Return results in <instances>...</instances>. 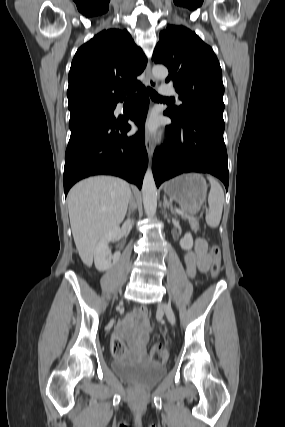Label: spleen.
Listing matches in <instances>:
<instances>
[{"instance_id":"obj_1","label":"spleen","mask_w":285,"mask_h":427,"mask_svg":"<svg viewBox=\"0 0 285 427\" xmlns=\"http://www.w3.org/2000/svg\"><path fill=\"white\" fill-rule=\"evenodd\" d=\"M211 189L208 195L209 211L206 214V223L211 228L218 227L224 204V192L220 184L211 176H208Z\"/></svg>"}]
</instances>
